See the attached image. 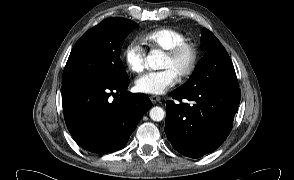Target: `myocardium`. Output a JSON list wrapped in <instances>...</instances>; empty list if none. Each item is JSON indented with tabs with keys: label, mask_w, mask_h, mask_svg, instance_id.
<instances>
[{
	"label": "myocardium",
	"mask_w": 294,
	"mask_h": 180,
	"mask_svg": "<svg viewBox=\"0 0 294 180\" xmlns=\"http://www.w3.org/2000/svg\"><path fill=\"white\" fill-rule=\"evenodd\" d=\"M184 53H188L189 62L187 66L178 74V76L183 79L191 76L197 67L199 59L197 47L193 43L184 41L165 51V55L171 59H176Z\"/></svg>",
	"instance_id": "obj_1"
}]
</instances>
